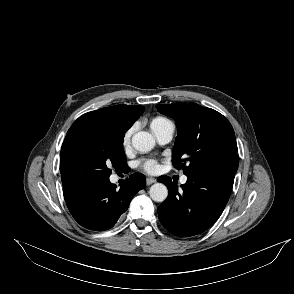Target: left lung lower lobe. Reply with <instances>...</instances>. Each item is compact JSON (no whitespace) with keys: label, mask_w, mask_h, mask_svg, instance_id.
<instances>
[{"label":"left lung lower lobe","mask_w":294,"mask_h":294,"mask_svg":"<svg viewBox=\"0 0 294 294\" xmlns=\"http://www.w3.org/2000/svg\"><path fill=\"white\" fill-rule=\"evenodd\" d=\"M238 164V154L223 156L202 173L187 176L181 185L183 192L169 177H159L169 189L167 199L158 207L162 225L179 237L197 235L211 227L228 202Z\"/></svg>","instance_id":"left-lung-lower-lobe-1"}]
</instances>
